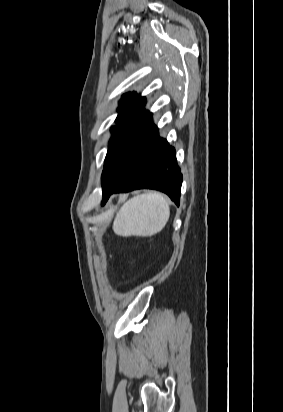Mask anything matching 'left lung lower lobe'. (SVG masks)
<instances>
[{
    "instance_id": "left-lung-lower-lobe-1",
    "label": "left lung lower lobe",
    "mask_w": 283,
    "mask_h": 412,
    "mask_svg": "<svg viewBox=\"0 0 283 412\" xmlns=\"http://www.w3.org/2000/svg\"><path fill=\"white\" fill-rule=\"evenodd\" d=\"M126 163L105 159L102 173V205L113 193L149 188L166 193L177 205L180 202L182 174L175 149L158 136L156 128L150 146L132 173L125 179Z\"/></svg>"
}]
</instances>
